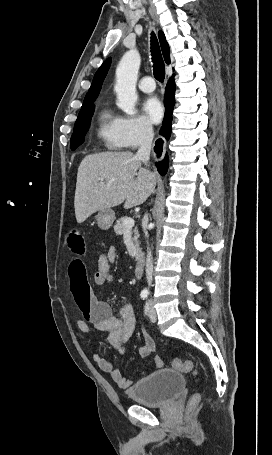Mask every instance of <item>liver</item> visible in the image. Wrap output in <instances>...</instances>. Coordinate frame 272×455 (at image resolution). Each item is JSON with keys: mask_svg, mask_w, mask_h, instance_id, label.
<instances>
[{"mask_svg": "<svg viewBox=\"0 0 272 455\" xmlns=\"http://www.w3.org/2000/svg\"><path fill=\"white\" fill-rule=\"evenodd\" d=\"M141 165V160L130 151L87 155L77 173L74 198L77 222L83 223L93 213L123 202L125 209L142 204L152 193L156 178Z\"/></svg>", "mask_w": 272, "mask_h": 455, "instance_id": "1", "label": "liver"}]
</instances>
